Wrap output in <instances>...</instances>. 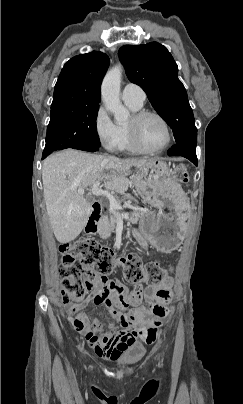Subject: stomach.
I'll use <instances>...</instances> for the list:
<instances>
[{
  "mask_svg": "<svg viewBox=\"0 0 243 404\" xmlns=\"http://www.w3.org/2000/svg\"><path fill=\"white\" fill-rule=\"evenodd\" d=\"M132 180L144 201L154 208L140 218V232L159 251L175 250L184 239L190 217L189 200L181 185L158 158L137 168Z\"/></svg>",
  "mask_w": 243,
  "mask_h": 404,
  "instance_id": "obj_1",
  "label": "stomach"
}]
</instances>
